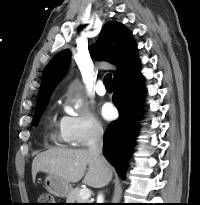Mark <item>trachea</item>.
Returning a JSON list of instances; mask_svg holds the SVG:
<instances>
[{"label": "trachea", "instance_id": "obj_1", "mask_svg": "<svg viewBox=\"0 0 200 205\" xmlns=\"http://www.w3.org/2000/svg\"><path fill=\"white\" fill-rule=\"evenodd\" d=\"M103 83L107 88H112L113 87L112 74L111 73L106 74V76L103 79Z\"/></svg>", "mask_w": 200, "mask_h": 205}]
</instances>
